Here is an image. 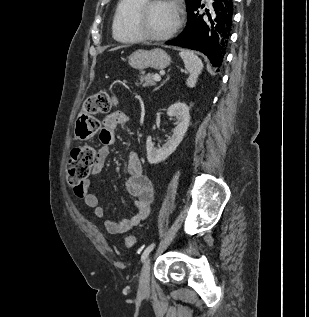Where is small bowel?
<instances>
[{"mask_svg":"<svg viewBox=\"0 0 309 317\" xmlns=\"http://www.w3.org/2000/svg\"><path fill=\"white\" fill-rule=\"evenodd\" d=\"M128 123L127 115L122 111H115L107 115L103 120V128L100 131L99 139L101 146L97 151L94 165L91 169V177L102 181V170L111 148L116 143V129ZM128 177L125 181L126 191L135 198V213L130 218L120 221L104 219V210L99 204L98 197L90 191V180L86 179L74 189L76 197L84 204L93 209L96 218L104 219L105 230L109 235H119L139 224L147 217L154 198V190L150 179L142 172V165L139 156L130 152L127 162Z\"/></svg>","mask_w":309,"mask_h":317,"instance_id":"c3829d8e","label":"small bowel"}]
</instances>
